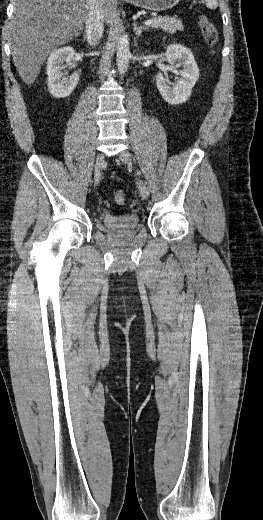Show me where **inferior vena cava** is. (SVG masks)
Returning a JSON list of instances; mask_svg holds the SVG:
<instances>
[{"instance_id":"1","label":"inferior vena cava","mask_w":263,"mask_h":520,"mask_svg":"<svg viewBox=\"0 0 263 520\" xmlns=\"http://www.w3.org/2000/svg\"><path fill=\"white\" fill-rule=\"evenodd\" d=\"M86 38L95 46L103 36L104 12L103 0H87Z\"/></svg>"}]
</instances>
